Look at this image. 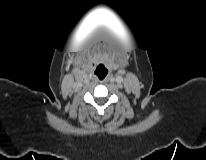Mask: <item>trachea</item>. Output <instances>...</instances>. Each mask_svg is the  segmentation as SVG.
<instances>
[{
	"label": "trachea",
	"instance_id": "3493384b",
	"mask_svg": "<svg viewBox=\"0 0 206 160\" xmlns=\"http://www.w3.org/2000/svg\"><path fill=\"white\" fill-rule=\"evenodd\" d=\"M95 73L97 74L100 80L104 79V77L106 76L105 72L99 73L98 71H96Z\"/></svg>",
	"mask_w": 206,
	"mask_h": 160
}]
</instances>
